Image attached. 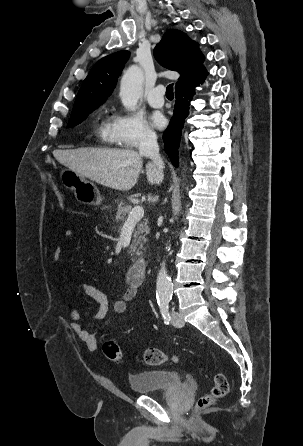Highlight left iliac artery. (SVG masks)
<instances>
[{
  "instance_id": "44dca946",
  "label": "left iliac artery",
  "mask_w": 303,
  "mask_h": 446,
  "mask_svg": "<svg viewBox=\"0 0 303 446\" xmlns=\"http://www.w3.org/2000/svg\"><path fill=\"white\" fill-rule=\"evenodd\" d=\"M169 299H161L158 301L159 307H160V313L164 319V322L166 324H169L170 321V315H169Z\"/></svg>"
}]
</instances>
